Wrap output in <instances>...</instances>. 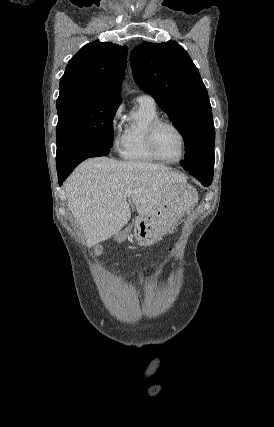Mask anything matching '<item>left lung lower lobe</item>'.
Segmentation results:
<instances>
[{
  "instance_id": "0a47b994",
  "label": "left lung lower lobe",
  "mask_w": 274,
  "mask_h": 427,
  "mask_svg": "<svg viewBox=\"0 0 274 427\" xmlns=\"http://www.w3.org/2000/svg\"><path fill=\"white\" fill-rule=\"evenodd\" d=\"M196 179H198L202 185L209 186L212 182L213 175H201L197 173L190 172Z\"/></svg>"
}]
</instances>
